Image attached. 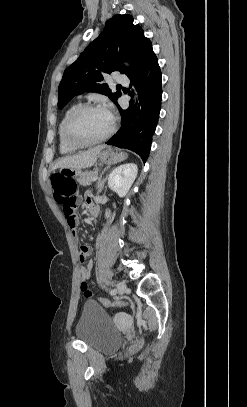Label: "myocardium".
Masks as SVG:
<instances>
[{"mask_svg":"<svg viewBox=\"0 0 247 407\" xmlns=\"http://www.w3.org/2000/svg\"><path fill=\"white\" fill-rule=\"evenodd\" d=\"M88 110H105V109L102 106L97 105V104H81L78 107H76L69 114V116L66 119L65 125H64V138H65L66 142L72 147L85 148V147H90V146L100 144V143L106 141L107 139H109L115 131V123H114L113 118H111V127H110L109 131L101 138H98L93 141H88V142H83V141L77 140L72 135V124H73L74 120L81 113L88 111Z\"/></svg>","mask_w":247,"mask_h":407,"instance_id":"obj_1","label":"myocardium"}]
</instances>
